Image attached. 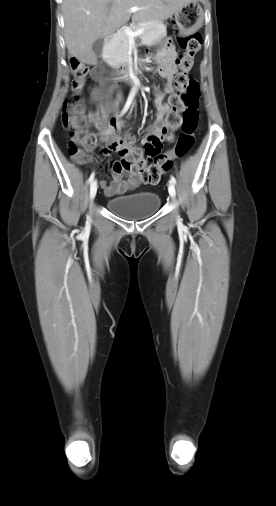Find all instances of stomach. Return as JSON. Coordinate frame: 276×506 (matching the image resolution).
<instances>
[{"label":"stomach","instance_id":"stomach-1","mask_svg":"<svg viewBox=\"0 0 276 506\" xmlns=\"http://www.w3.org/2000/svg\"><path fill=\"white\" fill-rule=\"evenodd\" d=\"M204 21V12L197 0H193L183 5L175 13V22L179 28V33L188 35L191 31L199 29ZM164 35L156 39L152 44L158 45L162 42Z\"/></svg>","mask_w":276,"mask_h":506}]
</instances>
